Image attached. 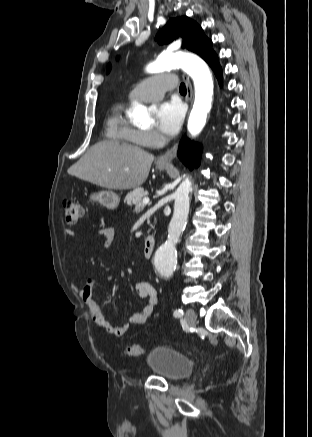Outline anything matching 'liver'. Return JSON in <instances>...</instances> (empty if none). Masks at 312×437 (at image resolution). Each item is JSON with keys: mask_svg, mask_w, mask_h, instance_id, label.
<instances>
[{"mask_svg": "<svg viewBox=\"0 0 312 437\" xmlns=\"http://www.w3.org/2000/svg\"><path fill=\"white\" fill-rule=\"evenodd\" d=\"M153 154L131 144L104 140L94 144L68 173L98 186L125 190L142 185Z\"/></svg>", "mask_w": 312, "mask_h": 437, "instance_id": "liver-1", "label": "liver"}]
</instances>
